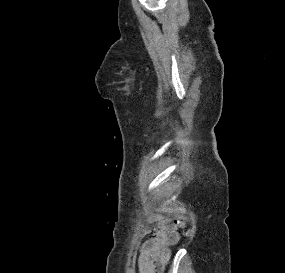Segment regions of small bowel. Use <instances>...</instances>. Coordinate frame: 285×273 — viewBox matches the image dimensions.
<instances>
[{
	"mask_svg": "<svg viewBox=\"0 0 285 273\" xmlns=\"http://www.w3.org/2000/svg\"><path fill=\"white\" fill-rule=\"evenodd\" d=\"M162 233L145 242L138 258L139 273H159L170 259V247L178 241L171 221L160 224Z\"/></svg>",
	"mask_w": 285,
	"mask_h": 273,
	"instance_id": "c3829d8e",
	"label": "small bowel"
}]
</instances>
